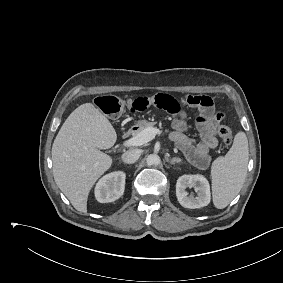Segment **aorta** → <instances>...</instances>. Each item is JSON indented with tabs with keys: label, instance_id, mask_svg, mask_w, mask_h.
Instances as JSON below:
<instances>
[{
	"label": "aorta",
	"instance_id": "762f6f07",
	"mask_svg": "<svg viewBox=\"0 0 283 283\" xmlns=\"http://www.w3.org/2000/svg\"><path fill=\"white\" fill-rule=\"evenodd\" d=\"M160 157L157 154H150L146 158V163L148 166H156L160 164Z\"/></svg>",
	"mask_w": 283,
	"mask_h": 283
}]
</instances>
